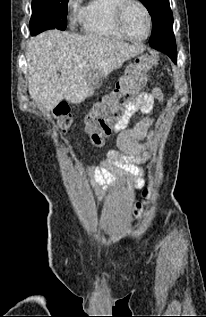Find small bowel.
Masks as SVG:
<instances>
[{
  "instance_id": "1",
  "label": "small bowel",
  "mask_w": 206,
  "mask_h": 317,
  "mask_svg": "<svg viewBox=\"0 0 206 317\" xmlns=\"http://www.w3.org/2000/svg\"><path fill=\"white\" fill-rule=\"evenodd\" d=\"M163 99L161 90L153 88L150 92H141L128 104L123 117L114 127L117 136L116 143L120 152L109 151L107 159L100 166L90 169L98 194H101L107 186L119 185V181L109 169L112 166L137 176L145 173V170L139 165L149 157L148 144L141 143V141L149 135L154 119L146 117L130 129L127 128V125L137 111L149 114L153 110L155 100L162 102ZM140 184L141 182H138V185Z\"/></svg>"
}]
</instances>
